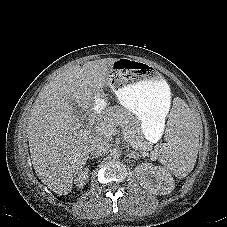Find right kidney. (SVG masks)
<instances>
[{"mask_svg":"<svg viewBox=\"0 0 227 227\" xmlns=\"http://www.w3.org/2000/svg\"><path fill=\"white\" fill-rule=\"evenodd\" d=\"M89 168H84L83 170L79 171L77 174L76 179L74 180V183L78 188H83L88 181L89 178Z\"/></svg>","mask_w":227,"mask_h":227,"instance_id":"right-kidney-1","label":"right kidney"}]
</instances>
